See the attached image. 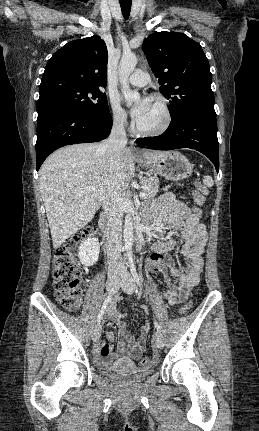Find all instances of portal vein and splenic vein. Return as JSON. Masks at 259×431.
Wrapping results in <instances>:
<instances>
[{"label":"portal vein and splenic vein","mask_w":259,"mask_h":431,"mask_svg":"<svg viewBox=\"0 0 259 431\" xmlns=\"http://www.w3.org/2000/svg\"><path fill=\"white\" fill-rule=\"evenodd\" d=\"M93 190H95L94 187H89L88 188V191H93ZM139 196H140V198H145L146 197L145 191L140 192Z\"/></svg>","instance_id":"obj_1"}]
</instances>
